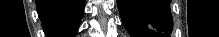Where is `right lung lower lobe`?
<instances>
[{
  "mask_svg": "<svg viewBox=\"0 0 219 37\" xmlns=\"http://www.w3.org/2000/svg\"><path fill=\"white\" fill-rule=\"evenodd\" d=\"M45 33L50 37H72L82 16L83 0H37Z\"/></svg>",
  "mask_w": 219,
  "mask_h": 37,
  "instance_id": "obj_1",
  "label": "right lung lower lobe"
}]
</instances>
